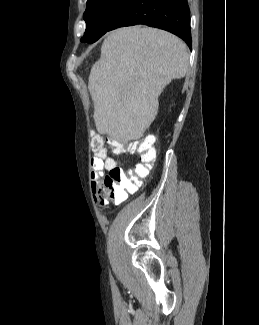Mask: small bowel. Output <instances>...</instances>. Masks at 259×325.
Wrapping results in <instances>:
<instances>
[{
  "label": "small bowel",
  "instance_id": "obj_1",
  "mask_svg": "<svg viewBox=\"0 0 259 325\" xmlns=\"http://www.w3.org/2000/svg\"><path fill=\"white\" fill-rule=\"evenodd\" d=\"M113 166H115V161L111 158H107L106 156L104 159H99L95 156L91 161L92 189L96 196L97 202L102 206L107 205V202L99 196V190L101 187L100 179L104 175L105 169H111Z\"/></svg>",
  "mask_w": 259,
  "mask_h": 325
}]
</instances>
